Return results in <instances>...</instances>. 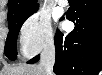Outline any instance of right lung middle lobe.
I'll return each mask as SVG.
<instances>
[{
    "label": "right lung middle lobe",
    "instance_id": "dd1d6c3e",
    "mask_svg": "<svg viewBox=\"0 0 102 75\" xmlns=\"http://www.w3.org/2000/svg\"><path fill=\"white\" fill-rule=\"evenodd\" d=\"M35 11H37V9L8 16L9 33L5 43L4 52L9 59L11 60L16 59L17 57L16 45H17V36L19 30L22 24L24 23V21Z\"/></svg>",
    "mask_w": 102,
    "mask_h": 75
}]
</instances>
